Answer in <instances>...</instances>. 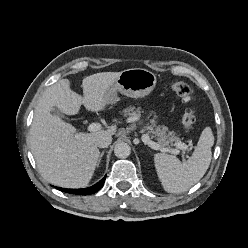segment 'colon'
<instances>
[{
  "label": "colon",
  "instance_id": "5ec220e1",
  "mask_svg": "<svg viewBox=\"0 0 248 248\" xmlns=\"http://www.w3.org/2000/svg\"><path fill=\"white\" fill-rule=\"evenodd\" d=\"M171 89L176 93L185 103H191L194 100L190 86L185 82H174ZM196 121V111L193 107H187L182 116V124L184 129L190 130Z\"/></svg>",
  "mask_w": 248,
  "mask_h": 248
}]
</instances>
